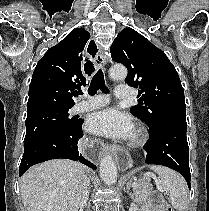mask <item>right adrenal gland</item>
<instances>
[{"mask_svg": "<svg viewBox=\"0 0 209 211\" xmlns=\"http://www.w3.org/2000/svg\"><path fill=\"white\" fill-rule=\"evenodd\" d=\"M88 181H89V184H90V180L88 179ZM89 189H90V185H89Z\"/></svg>", "mask_w": 209, "mask_h": 211, "instance_id": "obj_1", "label": "right adrenal gland"}]
</instances>
